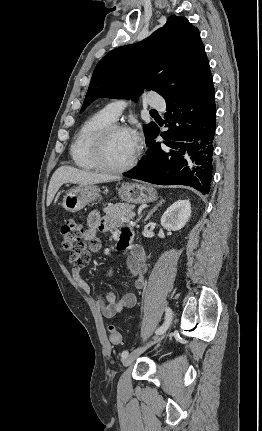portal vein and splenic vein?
I'll use <instances>...</instances> for the list:
<instances>
[{"label":"portal vein and splenic vein","instance_id":"portal-vein-and-splenic-vein-1","mask_svg":"<svg viewBox=\"0 0 262 431\" xmlns=\"http://www.w3.org/2000/svg\"><path fill=\"white\" fill-rule=\"evenodd\" d=\"M131 218L132 217H130V216L129 217H124V218H122V220H123V222H127L128 223V222H131Z\"/></svg>","mask_w":262,"mask_h":431}]
</instances>
